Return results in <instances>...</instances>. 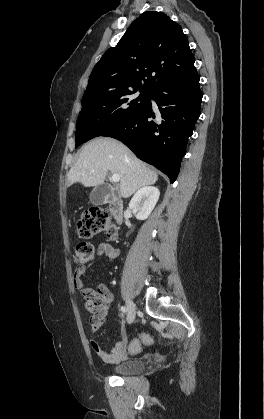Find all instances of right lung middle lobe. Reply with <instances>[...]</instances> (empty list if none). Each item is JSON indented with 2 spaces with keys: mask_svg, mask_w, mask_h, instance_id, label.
I'll use <instances>...</instances> for the list:
<instances>
[{
  "mask_svg": "<svg viewBox=\"0 0 264 419\" xmlns=\"http://www.w3.org/2000/svg\"><path fill=\"white\" fill-rule=\"evenodd\" d=\"M139 91V96L134 94ZM149 90L135 88L118 92L95 93L83 98L77 122L76 145L102 136L145 105Z\"/></svg>",
  "mask_w": 264,
  "mask_h": 419,
  "instance_id": "dd1d6c3e",
  "label": "right lung middle lobe"
}]
</instances>
